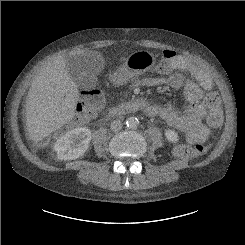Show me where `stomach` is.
Returning <instances> with one entry per match:
<instances>
[{"instance_id": "obj_1", "label": "stomach", "mask_w": 245, "mask_h": 245, "mask_svg": "<svg viewBox=\"0 0 245 245\" xmlns=\"http://www.w3.org/2000/svg\"><path fill=\"white\" fill-rule=\"evenodd\" d=\"M155 62L154 54L148 51L135 52L125 60V63L114 74V81L117 84H123L150 70Z\"/></svg>"}]
</instances>
